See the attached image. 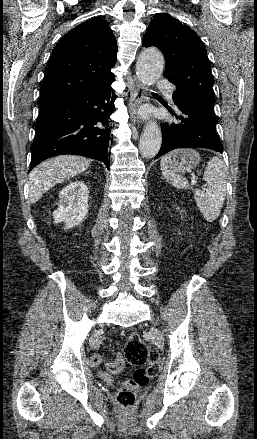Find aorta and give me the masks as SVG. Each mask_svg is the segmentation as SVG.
Returning a JSON list of instances; mask_svg holds the SVG:
<instances>
[{
  "label": "aorta",
  "mask_w": 257,
  "mask_h": 439,
  "mask_svg": "<svg viewBox=\"0 0 257 439\" xmlns=\"http://www.w3.org/2000/svg\"><path fill=\"white\" fill-rule=\"evenodd\" d=\"M164 70V58L156 48L144 49L136 64V75L138 79L146 84L155 83ZM162 142L161 131L155 122H150L145 127L140 141L139 150L144 158H153L158 153Z\"/></svg>",
  "instance_id": "1"
}]
</instances>
